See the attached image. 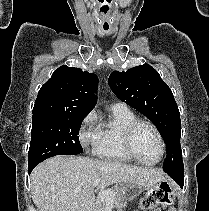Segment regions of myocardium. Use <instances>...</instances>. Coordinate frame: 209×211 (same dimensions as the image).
I'll list each match as a JSON object with an SVG mask.
<instances>
[{
	"label": "myocardium",
	"mask_w": 209,
	"mask_h": 211,
	"mask_svg": "<svg viewBox=\"0 0 209 211\" xmlns=\"http://www.w3.org/2000/svg\"><path fill=\"white\" fill-rule=\"evenodd\" d=\"M142 126H147L150 129H152L160 142L161 153H160L158 160H156L155 162H151V163L145 162V161L141 160L139 158V156L137 155V153L135 152V149H134L135 135H136L137 131L139 130V128ZM123 145H124L126 153L135 162H137L141 165H144V166H148V167H152V166L159 164L163 160L165 152H166L165 140H164L163 135L161 134L160 130L152 122L147 121V120H142V119L135 120L126 128V130L124 132V136H123Z\"/></svg>",
	"instance_id": "f54148a6"
}]
</instances>
